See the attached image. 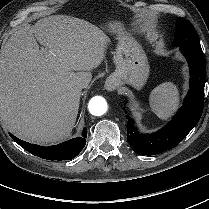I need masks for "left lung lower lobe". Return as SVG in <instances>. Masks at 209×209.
Listing matches in <instances>:
<instances>
[{"instance_id": "obj_1", "label": "left lung lower lobe", "mask_w": 209, "mask_h": 209, "mask_svg": "<svg viewBox=\"0 0 209 209\" xmlns=\"http://www.w3.org/2000/svg\"><path fill=\"white\" fill-rule=\"evenodd\" d=\"M190 68V89L183 106L168 124L152 134H143L126 116L127 141L140 155H156L178 145L198 123L204 106L206 62L200 43L179 46Z\"/></svg>"}]
</instances>
